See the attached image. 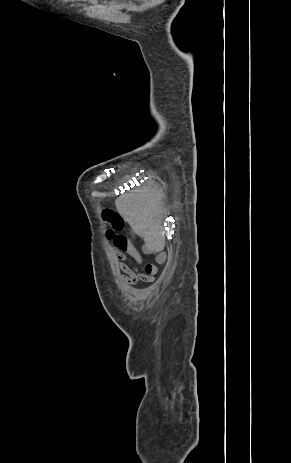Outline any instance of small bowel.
<instances>
[{"mask_svg": "<svg viewBox=\"0 0 291 463\" xmlns=\"http://www.w3.org/2000/svg\"><path fill=\"white\" fill-rule=\"evenodd\" d=\"M113 240V253L117 260V266L121 271L119 279L121 282L127 285H135L139 281H143L147 284L154 282L155 275L157 273V267L154 263H148L144 270L140 272L137 266H140L143 262V254H150L157 252L151 246H144L142 252H140L132 243L128 236L116 235L112 237ZM130 260L136 266V269L131 268L125 261ZM155 261L162 263L164 261V255L157 253ZM151 266L152 269L148 270L147 267Z\"/></svg>", "mask_w": 291, "mask_h": 463, "instance_id": "c3829d8e", "label": "small bowel"}]
</instances>
